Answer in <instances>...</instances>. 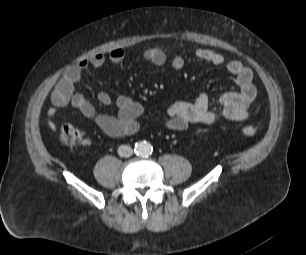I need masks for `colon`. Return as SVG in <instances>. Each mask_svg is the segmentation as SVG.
I'll return each instance as SVG.
<instances>
[{
    "label": "colon",
    "instance_id": "obj_1",
    "mask_svg": "<svg viewBox=\"0 0 306 255\" xmlns=\"http://www.w3.org/2000/svg\"><path fill=\"white\" fill-rule=\"evenodd\" d=\"M241 131L248 137H253L256 134V128L252 125H244ZM60 138L62 143L68 146H76L84 143L82 133L77 128L69 124L62 126Z\"/></svg>",
    "mask_w": 306,
    "mask_h": 255
}]
</instances>
